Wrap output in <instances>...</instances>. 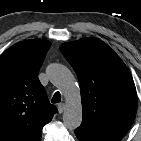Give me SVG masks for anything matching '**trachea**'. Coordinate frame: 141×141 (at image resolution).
Wrapping results in <instances>:
<instances>
[{"label": "trachea", "mask_w": 141, "mask_h": 141, "mask_svg": "<svg viewBox=\"0 0 141 141\" xmlns=\"http://www.w3.org/2000/svg\"><path fill=\"white\" fill-rule=\"evenodd\" d=\"M61 101V94L60 92H56L54 95H53V98H52V103H59Z\"/></svg>", "instance_id": "3493384b"}]
</instances>
